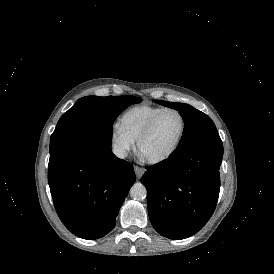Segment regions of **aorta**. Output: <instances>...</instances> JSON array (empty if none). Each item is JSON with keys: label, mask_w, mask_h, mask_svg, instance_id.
<instances>
[{"label": "aorta", "mask_w": 274, "mask_h": 274, "mask_svg": "<svg viewBox=\"0 0 274 274\" xmlns=\"http://www.w3.org/2000/svg\"><path fill=\"white\" fill-rule=\"evenodd\" d=\"M147 195V190L142 183H135L130 189V196L134 200L145 199Z\"/></svg>", "instance_id": "1"}]
</instances>
